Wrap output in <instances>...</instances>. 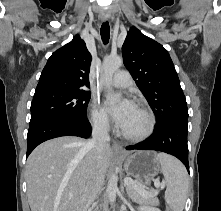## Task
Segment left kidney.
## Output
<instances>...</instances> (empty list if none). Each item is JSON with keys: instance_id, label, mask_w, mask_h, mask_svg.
Masks as SVG:
<instances>
[{"instance_id": "5707ae66", "label": "left kidney", "mask_w": 221, "mask_h": 211, "mask_svg": "<svg viewBox=\"0 0 221 211\" xmlns=\"http://www.w3.org/2000/svg\"><path fill=\"white\" fill-rule=\"evenodd\" d=\"M140 211H161L158 208L152 207V206H141L139 207Z\"/></svg>"}]
</instances>
